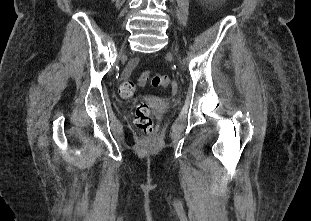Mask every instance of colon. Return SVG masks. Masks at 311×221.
<instances>
[{"instance_id":"1","label":"colon","mask_w":311,"mask_h":221,"mask_svg":"<svg viewBox=\"0 0 311 221\" xmlns=\"http://www.w3.org/2000/svg\"><path fill=\"white\" fill-rule=\"evenodd\" d=\"M151 80V84L155 87L167 88L171 83V78L164 74H154L150 77V73H145L141 80ZM136 90V85L132 80H125L120 86V95L122 98H131ZM134 122L140 132L145 135L151 134L154 129L153 118L150 109L145 101H140L137 105ZM151 139V136H148Z\"/></svg>"}]
</instances>
